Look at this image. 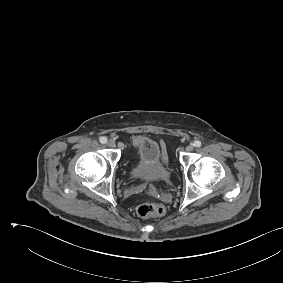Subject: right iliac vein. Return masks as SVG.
I'll return each mask as SVG.
<instances>
[{
	"mask_svg": "<svg viewBox=\"0 0 283 283\" xmlns=\"http://www.w3.org/2000/svg\"><path fill=\"white\" fill-rule=\"evenodd\" d=\"M107 146L110 147V148H114L116 145H115V142L113 140H110L107 142Z\"/></svg>",
	"mask_w": 283,
	"mask_h": 283,
	"instance_id": "obj_1",
	"label": "right iliac vein"
}]
</instances>
